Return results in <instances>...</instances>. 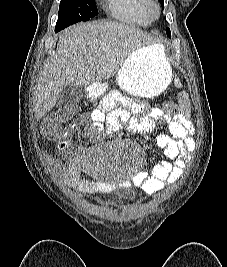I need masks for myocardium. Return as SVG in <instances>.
Instances as JSON below:
<instances>
[{
    "label": "myocardium",
    "instance_id": "1",
    "mask_svg": "<svg viewBox=\"0 0 227 267\" xmlns=\"http://www.w3.org/2000/svg\"><path fill=\"white\" fill-rule=\"evenodd\" d=\"M146 13L150 20H155L160 15V7L157 0H148L146 5Z\"/></svg>",
    "mask_w": 227,
    "mask_h": 267
}]
</instances>
